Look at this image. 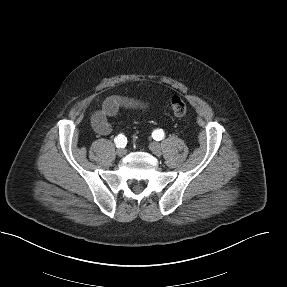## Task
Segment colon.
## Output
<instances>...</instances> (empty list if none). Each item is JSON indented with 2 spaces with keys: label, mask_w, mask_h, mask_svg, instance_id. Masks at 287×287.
Returning <instances> with one entry per match:
<instances>
[{
  "label": "colon",
  "mask_w": 287,
  "mask_h": 287,
  "mask_svg": "<svg viewBox=\"0 0 287 287\" xmlns=\"http://www.w3.org/2000/svg\"><path fill=\"white\" fill-rule=\"evenodd\" d=\"M169 107L174 115L184 116L187 113V105L185 101L179 96H172L168 100Z\"/></svg>",
  "instance_id": "obj_1"
}]
</instances>
